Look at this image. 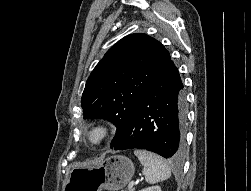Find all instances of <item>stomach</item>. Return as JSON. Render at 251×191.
Segmentation results:
<instances>
[{"label": "stomach", "instance_id": "1", "mask_svg": "<svg viewBox=\"0 0 251 191\" xmlns=\"http://www.w3.org/2000/svg\"><path fill=\"white\" fill-rule=\"evenodd\" d=\"M133 161L125 155H109L95 167H73L63 191H118L134 175Z\"/></svg>", "mask_w": 251, "mask_h": 191}]
</instances>
